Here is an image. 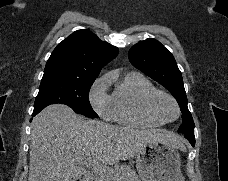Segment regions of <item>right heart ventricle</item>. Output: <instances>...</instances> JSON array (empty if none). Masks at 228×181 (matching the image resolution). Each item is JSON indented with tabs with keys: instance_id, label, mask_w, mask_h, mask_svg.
Here are the masks:
<instances>
[{
	"instance_id": "obj_1",
	"label": "right heart ventricle",
	"mask_w": 228,
	"mask_h": 181,
	"mask_svg": "<svg viewBox=\"0 0 228 181\" xmlns=\"http://www.w3.org/2000/svg\"><path fill=\"white\" fill-rule=\"evenodd\" d=\"M114 86L112 118L120 123L139 126H154L158 122L144 116L141 109L143 96L154 90L152 83L143 75L135 72L111 71L104 86Z\"/></svg>"
}]
</instances>
